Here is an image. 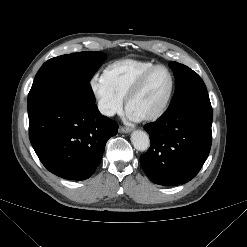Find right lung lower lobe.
I'll return each instance as SVG.
<instances>
[{"mask_svg": "<svg viewBox=\"0 0 247 247\" xmlns=\"http://www.w3.org/2000/svg\"><path fill=\"white\" fill-rule=\"evenodd\" d=\"M29 137L43 165L65 179L84 180L96 170L106 142L118 125L102 116L95 103L62 95L28 106Z\"/></svg>", "mask_w": 247, "mask_h": 247, "instance_id": "obj_1", "label": "right lung lower lobe"}]
</instances>
